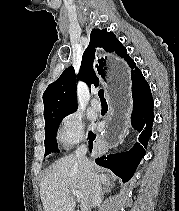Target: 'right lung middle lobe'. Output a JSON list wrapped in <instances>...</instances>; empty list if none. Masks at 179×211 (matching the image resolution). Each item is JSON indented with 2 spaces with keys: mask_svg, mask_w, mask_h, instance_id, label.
<instances>
[{
  "mask_svg": "<svg viewBox=\"0 0 179 211\" xmlns=\"http://www.w3.org/2000/svg\"><path fill=\"white\" fill-rule=\"evenodd\" d=\"M67 115L53 117L45 123V156L53 152H59L56 133L60 122Z\"/></svg>",
  "mask_w": 179,
  "mask_h": 211,
  "instance_id": "1",
  "label": "right lung middle lobe"
}]
</instances>
